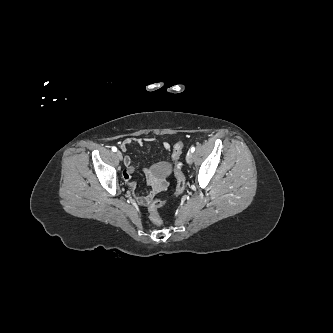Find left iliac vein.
<instances>
[{"label": "left iliac vein", "instance_id": "1", "mask_svg": "<svg viewBox=\"0 0 333 333\" xmlns=\"http://www.w3.org/2000/svg\"><path fill=\"white\" fill-rule=\"evenodd\" d=\"M186 162H187L188 164H192V162H193V154H192L191 151H189V152L187 153V155H186Z\"/></svg>", "mask_w": 333, "mask_h": 333}]
</instances>
